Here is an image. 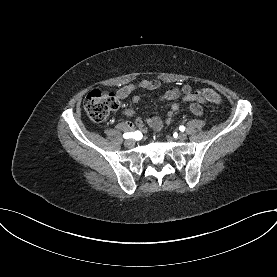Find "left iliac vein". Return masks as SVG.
<instances>
[{
	"label": "left iliac vein",
	"instance_id": "4c4485c4",
	"mask_svg": "<svg viewBox=\"0 0 277 277\" xmlns=\"http://www.w3.org/2000/svg\"><path fill=\"white\" fill-rule=\"evenodd\" d=\"M186 138H187V135H186L185 133H180V134L178 135V139H179L180 141H184V140H186Z\"/></svg>",
	"mask_w": 277,
	"mask_h": 277
}]
</instances>
